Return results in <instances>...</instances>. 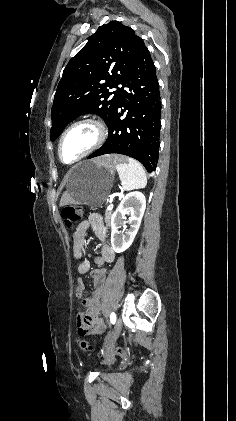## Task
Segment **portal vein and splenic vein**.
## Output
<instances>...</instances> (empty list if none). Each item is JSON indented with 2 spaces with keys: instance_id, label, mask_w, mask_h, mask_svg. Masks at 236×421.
Segmentation results:
<instances>
[{
  "instance_id": "portal-vein-and-splenic-vein-1",
  "label": "portal vein and splenic vein",
  "mask_w": 236,
  "mask_h": 421,
  "mask_svg": "<svg viewBox=\"0 0 236 421\" xmlns=\"http://www.w3.org/2000/svg\"><path fill=\"white\" fill-rule=\"evenodd\" d=\"M113 208V204H109V206H107V211H112Z\"/></svg>"
}]
</instances>
